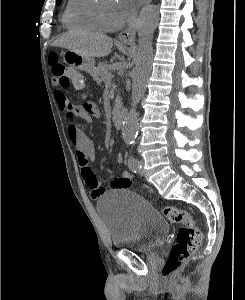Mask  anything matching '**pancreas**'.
<instances>
[{
    "mask_svg": "<svg viewBox=\"0 0 245 300\" xmlns=\"http://www.w3.org/2000/svg\"><path fill=\"white\" fill-rule=\"evenodd\" d=\"M91 75L93 79L98 83L105 82L106 84H110L112 79L110 66L105 62H101L99 63L98 67H94ZM115 102H116V106L113 109V114H116V112L119 109L120 97H117Z\"/></svg>",
    "mask_w": 245,
    "mask_h": 300,
    "instance_id": "obj_1",
    "label": "pancreas"
}]
</instances>
